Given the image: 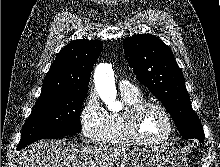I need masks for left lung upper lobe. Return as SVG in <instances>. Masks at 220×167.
<instances>
[{"mask_svg": "<svg viewBox=\"0 0 220 167\" xmlns=\"http://www.w3.org/2000/svg\"><path fill=\"white\" fill-rule=\"evenodd\" d=\"M123 48L137 79L162 102L182 137L203 142V127L192 109L182 71L171 49L151 34L128 37Z\"/></svg>", "mask_w": 220, "mask_h": 167, "instance_id": "1", "label": "left lung upper lobe"}]
</instances>
